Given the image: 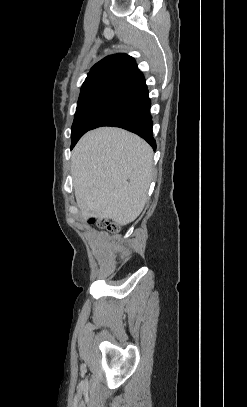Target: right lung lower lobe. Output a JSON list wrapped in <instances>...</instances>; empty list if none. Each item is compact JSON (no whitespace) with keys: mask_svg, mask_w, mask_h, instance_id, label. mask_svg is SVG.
Returning <instances> with one entry per match:
<instances>
[{"mask_svg":"<svg viewBox=\"0 0 247 407\" xmlns=\"http://www.w3.org/2000/svg\"><path fill=\"white\" fill-rule=\"evenodd\" d=\"M150 105L148 90L145 88L101 118L92 129L102 126L120 127L139 135L156 150Z\"/></svg>","mask_w":247,"mask_h":407,"instance_id":"right-lung-lower-lobe-1","label":"right lung lower lobe"}]
</instances>
